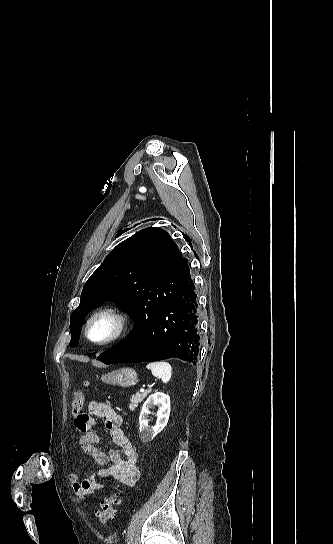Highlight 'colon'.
<instances>
[{
  "mask_svg": "<svg viewBox=\"0 0 333 544\" xmlns=\"http://www.w3.org/2000/svg\"><path fill=\"white\" fill-rule=\"evenodd\" d=\"M83 385L84 387H87L88 382L84 381ZM84 399V392L82 390L76 392L71 406V412L75 418L80 415V411L84 405ZM118 502L119 499L117 493L111 494L104 501H102L100 509L96 512V518L101 525H108V523L114 518L115 506L118 504Z\"/></svg>",
  "mask_w": 333,
  "mask_h": 544,
  "instance_id": "colon-1",
  "label": "colon"
}]
</instances>
